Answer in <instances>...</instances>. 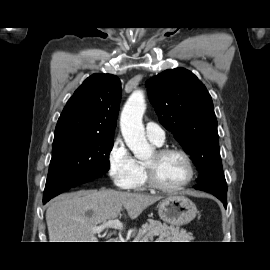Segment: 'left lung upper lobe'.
I'll return each mask as SVG.
<instances>
[{"label": "left lung upper lobe", "mask_w": 270, "mask_h": 270, "mask_svg": "<svg viewBox=\"0 0 270 270\" xmlns=\"http://www.w3.org/2000/svg\"><path fill=\"white\" fill-rule=\"evenodd\" d=\"M146 84L160 123L193 158L198 181L223 173L217 120L204 84L184 68L166 70Z\"/></svg>", "instance_id": "1"}]
</instances>
